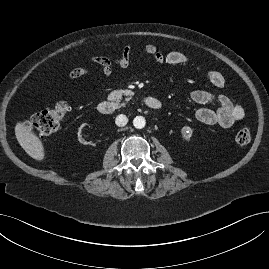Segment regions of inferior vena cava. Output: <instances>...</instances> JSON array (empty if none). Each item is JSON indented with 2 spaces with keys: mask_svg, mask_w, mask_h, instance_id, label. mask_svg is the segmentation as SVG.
<instances>
[{
  "mask_svg": "<svg viewBox=\"0 0 269 269\" xmlns=\"http://www.w3.org/2000/svg\"><path fill=\"white\" fill-rule=\"evenodd\" d=\"M127 122H128V118L126 115H123V114L118 115L115 119V123L119 127L125 126Z\"/></svg>",
  "mask_w": 269,
  "mask_h": 269,
  "instance_id": "602c4592",
  "label": "inferior vena cava"
}]
</instances>
